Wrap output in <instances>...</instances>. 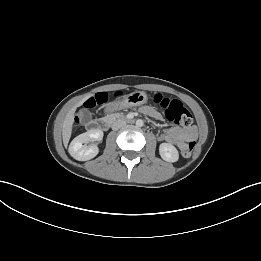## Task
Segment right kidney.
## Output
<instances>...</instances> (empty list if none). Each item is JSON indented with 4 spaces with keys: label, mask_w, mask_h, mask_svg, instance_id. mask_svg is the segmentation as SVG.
I'll list each match as a JSON object with an SVG mask.
<instances>
[{
    "label": "right kidney",
    "mask_w": 261,
    "mask_h": 261,
    "mask_svg": "<svg viewBox=\"0 0 261 261\" xmlns=\"http://www.w3.org/2000/svg\"><path fill=\"white\" fill-rule=\"evenodd\" d=\"M103 138V132L99 129H91L85 133H82L75 137L69 145L70 155L78 161H87L94 158L99 148L96 141H101ZM92 142L91 145L84 143Z\"/></svg>",
    "instance_id": "obj_1"
}]
</instances>
